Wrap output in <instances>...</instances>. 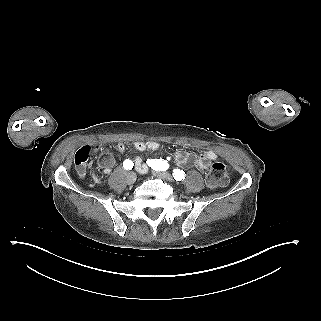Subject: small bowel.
<instances>
[{
  "mask_svg": "<svg viewBox=\"0 0 321 321\" xmlns=\"http://www.w3.org/2000/svg\"><path fill=\"white\" fill-rule=\"evenodd\" d=\"M133 148L139 152H144L147 150H158L160 148V144L157 141H135L132 144ZM117 154L123 155L126 152V148L124 144L118 143L116 146ZM100 152L101 158L99 161V167L102 170L103 177H99L96 174L92 175V178L95 182L101 183L104 181L106 177H108L111 173V168L115 163L114 156L108 152L107 147L104 144L101 145H93V144H86L79 149L75 157H84L87 159L90 154ZM217 159V154L210 150L202 151L199 156H195L194 154L185 151L179 150L175 153V161L178 165L186 168L196 167L200 170H205L211 161ZM136 169L141 172L145 173L148 170V166L145 162H143L142 158L136 157L134 159ZM80 174V173H79ZM84 176L85 174H80Z\"/></svg>",
  "mask_w": 321,
  "mask_h": 321,
  "instance_id": "c3829d8e",
  "label": "small bowel"
}]
</instances>
